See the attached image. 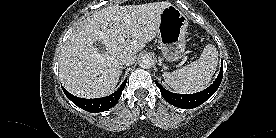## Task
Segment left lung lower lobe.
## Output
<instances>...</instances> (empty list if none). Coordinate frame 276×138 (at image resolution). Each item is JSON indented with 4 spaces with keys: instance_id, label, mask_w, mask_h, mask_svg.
<instances>
[{
    "instance_id": "0a47b994",
    "label": "left lung lower lobe",
    "mask_w": 276,
    "mask_h": 138,
    "mask_svg": "<svg viewBox=\"0 0 276 138\" xmlns=\"http://www.w3.org/2000/svg\"><path fill=\"white\" fill-rule=\"evenodd\" d=\"M223 76V61L221 63L220 73L217 76L216 80L211 84L208 88L203 91H200L195 94H176L172 93L165 88H163L157 81H155L156 85L160 88L162 97L171 105L184 108V109H192L195 108L206 100H208L218 89L221 84Z\"/></svg>"
}]
</instances>
